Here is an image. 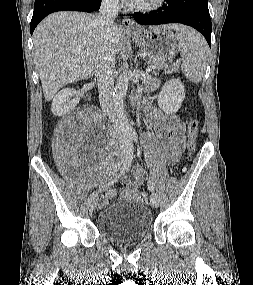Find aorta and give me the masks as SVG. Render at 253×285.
Instances as JSON below:
<instances>
[{
  "label": "aorta",
  "instance_id": "aorta-1",
  "mask_svg": "<svg viewBox=\"0 0 253 285\" xmlns=\"http://www.w3.org/2000/svg\"><path fill=\"white\" fill-rule=\"evenodd\" d=\"M129 74L126 68L122 69L114 89V105L117 121L124 134H131L133 128L124 112V100L128 90Z\"/></svg>",
  "mask_w": 253,
  "mask_h": 285
}]
</instances>
